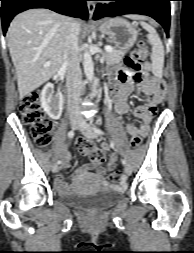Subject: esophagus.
<instances>
[{"instance_id":"34e87169","label":"esophagus","mask_w":194,"mask_h":253,"mask_svg":"<svg viewBox=\"0 0 194 253\" xmlns=\"http://www.w3.org/2000/svg\"><path fill=\"white\" fill-rule=\"evenodd\" d=\"M87 7H88L89 15L92 16L95 11V4L92 3V1H88Z\"/></svg>"}]
</instances>
